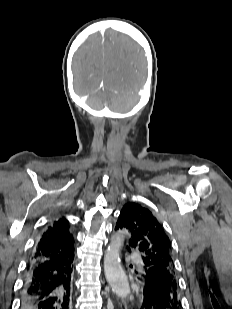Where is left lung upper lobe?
Instances as JSON below:
<instances>
[{"label":"left lung upper lobe","mask_w":232,"mask_h":309,"mask_svg":"<svg viewBox=\"0 0 232 309\" xmlns=\"http://www.w3.org/2000/svg\"><path fill=\"white\" fill-rule=\"evenodd\" d=\"M115 229L127 230L130 234L127 247L141 253L140 273L157 279L171 299L180 302L171 242L156 217L139 204L127 203L121 210Z\"/></svg>","instance_id":"5c2ea615"}]
</instances>
